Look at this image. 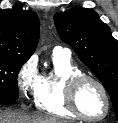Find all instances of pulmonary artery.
Returning <instances> with one entry per match:
<instances>
[{
  "instance_id": "1",
  "label": "pulmonary artery",
  "mask_w": 118,
  "mask_h": 123,
  "mask_svg": "<svg viewBox=\"0 0 118 123\" xmlns=\"http://www.w3.org/2000/svg\"><path fill=\"white\" fill-rule=\"evenodd\" d=\"M53 55L69 58L71 56V51L68 48L57 46L53 49Z\"/></svg>"
}]
</instances>
